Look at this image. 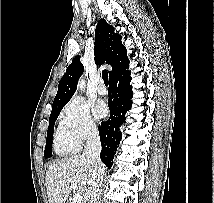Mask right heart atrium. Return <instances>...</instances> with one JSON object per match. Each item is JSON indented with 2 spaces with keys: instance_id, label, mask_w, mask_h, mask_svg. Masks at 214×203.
<instances>
[{
  "instance_id": "1",
  "label": "right heart atrium",
  "mask_w": 214,
  "mask_h": 203,
  "mask_svg": "<svg viewBox=\"0 0 214 203\" xmlns=\"http://www.w3.org/2000/svg\"><path fill=\"white\" fill-rule=\"evenodd\" d=\"M60 127L79 147L98 133V126L89 107L79 99H72L59 115Z\"/></svg>"
}]
</instances>
